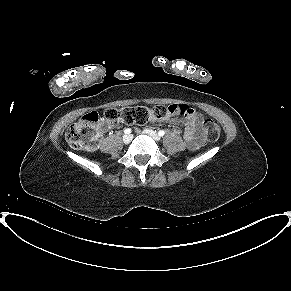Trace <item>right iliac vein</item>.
<instances>
[{
  "label": "right iliac vein",
  "instance_id": "right-iliac-vein-1",
  "mask_svg": "<svg viewBox=\"0 0 291 291\" xmlns=\"http://www.w3.org/2000/svg\"><path fill=\"white\" fill-rule=\"evenodd\" d=\"M131 139H132V136L130 134H126V135L123 136V142L125 144H129Z\"/></svg>",
  "mask_w": 291,
  "mask_h": 291
}]
</instances>
